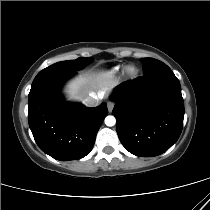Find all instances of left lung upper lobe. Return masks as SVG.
<instances>
[{
    "instance_id": "obj_1",
    "label": "left lung upper lobe",
    "mask_w": 210,
    "mask_h": 210,
    "mask_svg": "<svg viewBox=\"0 0 210 210\" xmlns=\"http://www.w3.org/2000/svg\"><path fill=\"white\" fill-rule=\"evenodd\" d=\"M143 63V72L144 74L153 71L156 68L162 67L165 64L154 58H143L140 60Z\"/></svg>"
}]
</instances>
